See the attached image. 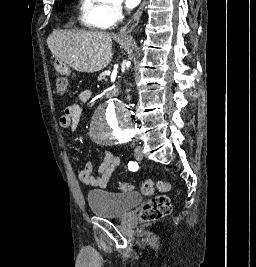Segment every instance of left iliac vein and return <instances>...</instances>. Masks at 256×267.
Listing matches in <instances>:
<instances>
[{"mask_svg": "<svg viewBox=\"0 0 256 267\" xmlns=\"http://www.w3.org/2000/svg\"><path fill=\"white\" fill-rule=\"evenodd\" d=\"M134 155L136 160H142L143 159V153L141 146H137L134 151Z\"/></svg>", "mask_w": 256, "mask_h": 267, "instance_id": "obj_1", "label": "left iliac vein"}]
</instances>
